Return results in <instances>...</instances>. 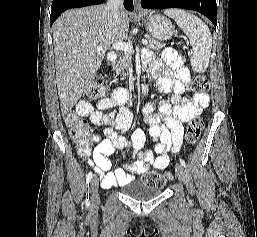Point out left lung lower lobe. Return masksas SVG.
I'll return each instance as SVG.
<instances>
[{"label": "left lung lower lobe", "instance_id": "1", "mask_svg": "<svg viewBox=\"0 0 257 237\" xmlns=\"http://www.w3.org/2000/svg\"><path fill=\"white\" fill-rule=\"evenodd\" d=\"M141 2L142 8L147 9L183 8L198 11L209 18L216 29V0H141Z\"/></svg>", "mask_w": 257, "mask_h": 237}]
</instances>
